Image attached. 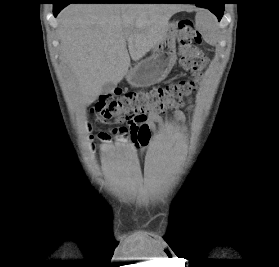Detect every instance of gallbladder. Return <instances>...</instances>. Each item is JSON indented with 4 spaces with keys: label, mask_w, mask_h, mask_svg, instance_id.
Returning <instances> with one entry per match:
<instances>
[{
    "label": "gallbladder",
    "mask_w": 279,
    "mask_h": 267,
    "mask_svg": "<svg viewBox=\"0 0 279 267\" xmlns=\"http://www.w3.org/2000/svg\"><path fill=\"white\" fill-rule=\"evenodd\" d=\"M115 89V84L113 82H107L103 87H102V93L103 94H108L112 93Z\"/></svg>",
    "instance_id": "bac80fb5"
}]
</instances>
